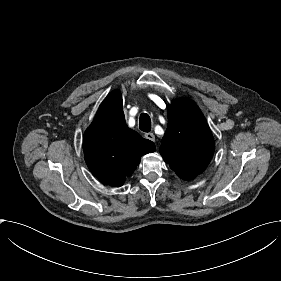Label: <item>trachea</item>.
<instances>
[{
    "label": "trachea",
    "instance_id": "1",
    "mask_svg": "<svg viewBox=\"0 0 281 281\" xmlns=\"http://www.w3.org/2000/svg\"><path fill=\"white\" fill-rule=\"evenodd\" d=\"M139 128L144 132H150L151 130V119L148 114L142 113L139 120Z\"/></svg>",
    "mask_w": 281,
    "mask_h": 281
}]
</instances>
